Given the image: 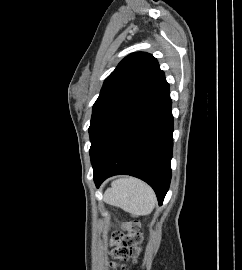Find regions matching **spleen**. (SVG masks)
<instances>
[{"label": "spleen", "instance_id": "3e777b00", "mask_svg": "<svg viewBox=\"0 0 242 270\" xmlns=\"http://www.w3.org/2000/svg\"><path fill=\"white\" fill-rule=\"evenodd\" d=\"M104 201L129 213L146 215L154 208L156 196L143 181L125 177L113 182L112 187L104 194Z\"/></svg>", "mask_w": 242, "mask_h": 270}]
</instances>
